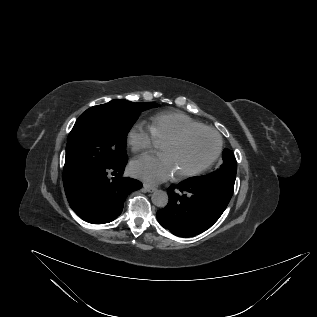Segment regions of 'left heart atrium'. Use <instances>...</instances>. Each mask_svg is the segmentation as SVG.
Returning a JSON list of instances; mask_svg holds the SVG:
<instances>
[{
	"mask_svg": "<svg viewBox=\"0 0 317 317\" xmlns=\"http://www.w3.org/2000/svg\"><path fill=\"white\" fill-rule=\"evenodd\" d=\"M130 171L134 176L151 183L164 181L177 173L169 157L164 153L137 158L131 163Z\"/></svg>",
	"mask_w": 317,
	"mask_h": 317,
	"instance_id": "obj_1",
	"label": "left heart atrium"
}]
</instances>
